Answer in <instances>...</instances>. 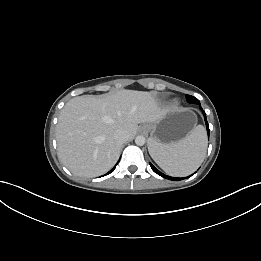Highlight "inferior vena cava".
I'll use <instances>...</instances> for the list:
<instances>
[{"instance_id": "602c4592", "label": "inferior vena cava", "mask_w": 261, "mask_h": 261, "mask_svg": "<svg viewBox=\"0 0 261 261\" xmlns=\"http://www.w3.org/2000/svg\"><path fill=\"white\" fill-rule=\"evenodd\" d=\"M114 138L119 142H124L126 140V134L123 130H118L114 133Z\"/></svg>"}]
</instances>
